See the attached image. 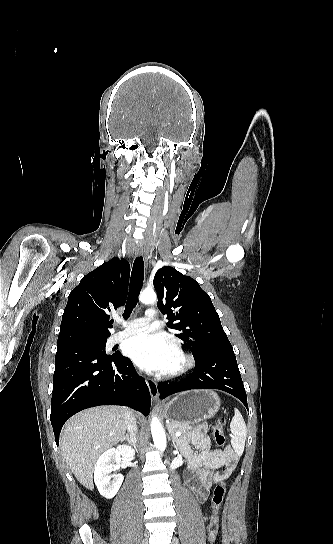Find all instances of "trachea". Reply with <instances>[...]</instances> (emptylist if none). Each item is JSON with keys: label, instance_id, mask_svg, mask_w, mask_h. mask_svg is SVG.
I'll list each match as a JSON object with an SVG mask.
<instances>
[{"label": "trachea", "instance_id": "1", "mask_svg": "<svg viewBox=\"0 0 333 544\" xmlns=\"http://www.w3.org/2000/svg\"><path fill=\"white\" fill-rule=\"evenodd\" d=\"M143 280H144V261H143V257L140 256L135 259L133 264L131 278H130L128 299H127L125 311L123 313L124 319H128L130 317L132 310L135 308V306L138 303V296L143 285Z\"/></svg>", "mask_w": 333, "mask_h": 544}]
</instances>
